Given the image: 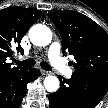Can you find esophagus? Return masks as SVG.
Wrapping results in <instances>:
<instances>
[{"mask_svg":"<svg viewBox=\"0 0 108 108\" xmlns=\"http://www.w3.org/2000/svg\"><path fill=\"white\" fill-rule=\"evenodd\" d=\"M42 75H51L52 73L49 71L41 70Z\"/></svg>","mask_w":108,"mask_h":108,"instance_id":"esophagus-1","label":"esophagus"}]
</instances>
